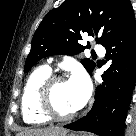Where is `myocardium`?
<instances>
[{"label":"myocardium","instance_id":"f54148a6","mask_svg":"<svg viewBox=\"0 0 136 136\" xmlns=\"http://www.w3.org/2000/svg\"><path fill=\"white\" fill-rule=\"evenodd\" d=\"M66 82V79L60 75H50L43 83L38 98V105L42 114L49 120L54 121H68L77 116L78 111L62 115L59 114L52 102V92L56 84Z\"/></svg>","mask_w":136,"mask_h":136}]
</instances>
